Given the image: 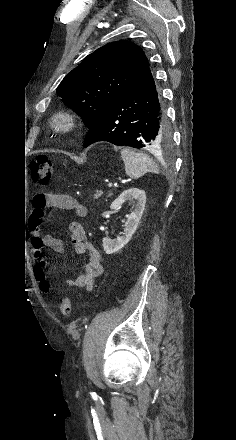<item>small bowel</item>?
Wrapping results in <instances>:
<instances>
[{
  "instance_id": "c3829d8e",
  "label": "small bowel",
  "mask_w": 236,
  "mask_h": 440,
  "mask_svg": "<svg viewBox=\"0 0 236 440\" xmlns=\"http://www.w3.org/2000/svg\"><path fill=\"white\" fill-rule=\"evenodd\" d=\"M32 207L36 221L46 217L47 208L71 210L79 218L88 215V208L77 199L65 194H45L39 193L32 199ZM35 224L32 230V246L36 255L37 262L34 265V277L39 286L47 282L45 269L47 261L42 256V250L49 248L57 253H63L64 244L62 240L50 235L43 234ZM71 242L74 250L81 255L87 256L88 260L81 274L73 279L66 280V284L74 288H85L91 291L94 281L103 273V257L97 247L87 240L85 229L80 221H74L69 226Z\"/></svg>"
}]
</instances>
